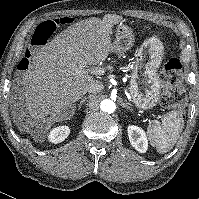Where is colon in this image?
Instances as JSON below:
<instances>
[{
    "mask_svg": "<svg viewBox=\"0 0 199 199\" xmlns=\"http://www.w3.org/2000/svg\"><path fill=\"white\" fill-rule=\"evenodd\" d=\"M60 23L61 21L58 19L44 21L34 33L32 44L35 46L44 45ZM30 56L31 53L28 51L25 60H28ZM181 71L182 63L176 57L167 60L163 66L161 78L165 92L161 96L160 104L165 108L179 106L185 101L182 97L183 86L179 79Z\"/></svg>",
    "mask_w": 199,
    "mask_h": 199,
    "instance_id": "obj_1",
    "label": "colon"
}]
</instances>
